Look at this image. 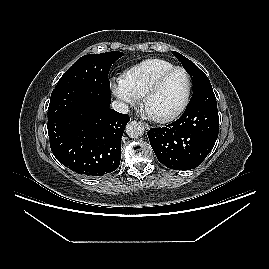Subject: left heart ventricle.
Masks as SVG:
<instances>
[{"label": "left heart ventricle", "mask_w": 269, "mask_h": 269, "mask_svg": "<svg viewBox=\"0 0 269 269\" xmlns=\"http://www.w3.org/2000/svg\"><path fill=\"white\" fill-rule=\"evenodd\" d=\"M187 84V77L183 71L172 73L160 89L150 97L146 104V112L161 116L174 111L185 97Z\"/></svg>", "instance_id": "b2bd125f"}]
</instances>
